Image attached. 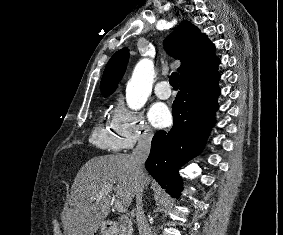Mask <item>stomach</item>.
I'll return each instance as SVG.
<instances>
[{
  "mask_svg": "<svg viewBox=\"0 0 283 235\" xmlns=\"http://www.w3.org/2000/svg\"><path fill=\"white\" fill-rule=\"evenodd\" d=\"M100 235H113L112 229L106 222L100 225Z\"/></svg>",
  "mask_w": 283,
  "mask_h": 235,
  "instance_id": "0dacf381",
  "label": "stomach"
}]
</instances>
